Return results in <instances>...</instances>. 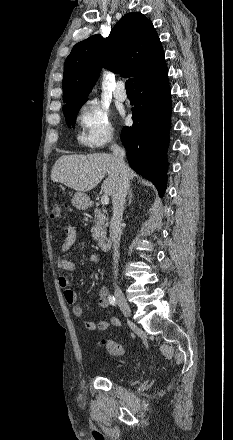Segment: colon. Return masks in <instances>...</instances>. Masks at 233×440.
I'll list each match as a JSON object with an SVG mask.
<instances>
[{
	"mask_svg": "<svg viewBox=\"0 0 233 440\" xmlns=\"http://www.w3.org/2000/svg\"><path fill=\"white\" fill-rule=\"evenodd\" d=\"M63 215L62 203L60 201H54L51 205L52 218H61ZM99 344L107 349V351L113 356H121L124 353V348L111 339H102Z\"/></svg>",
	"mask_w": 233,
	"mask_h": 440,
	"instance_id": "5ec220e1",
	"label": "colon"
}]
</instances>
